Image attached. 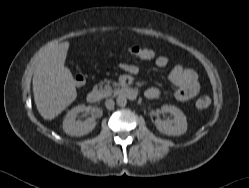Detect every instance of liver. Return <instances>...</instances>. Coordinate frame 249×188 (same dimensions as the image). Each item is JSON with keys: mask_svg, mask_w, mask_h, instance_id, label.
Instances as JSON below:
<instances>
[{"mask_svg": "<svg viewBox=\"0 0 249 188\" xmlns=\"http://www.w3.org/2000/svg\"><path fill=\"white\" fill-rule=\"evenodd\" d=\"M70 43H59L40 60L33 75L34 101L40 115L52 120L77 97L72 73L65 67Z\"/></svg>", "mask_w": 249, "mask_h": 188, "instance_id": "liver-1", "label": "liver"}]
</instances>
